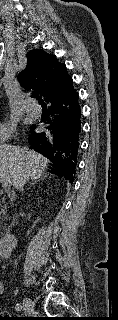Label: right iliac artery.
Listing matches in <instances>:
<instances>
[{
    "label": "right iliac artery",
    "instance_id": "obj_1",
    "mask_svg": "<svg viewBox=\"0 0 118 320\" xmlns=\"http://www.w3.org/2000/svg\"><path fill=\"white\" fill-rule=\"evenodd\" d=\"M15 309L17 311H21L22 310V306L20 304H16Z\"/></svg>",
    "mask_w": 118,
    "mask_h": 320
}]
</instances>
